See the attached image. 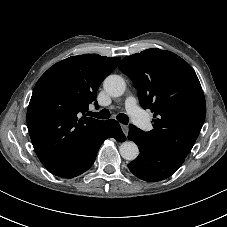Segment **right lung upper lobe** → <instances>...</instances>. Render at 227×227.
Masks as SVG:
<instances>
[{
	"label": "right lung upper lobe",
	"instance_id": "cb5924a9",
	"mask_svg": "<svg viewBox=\"0 0 227 227\" xmlns=\"http://www.w3.org/2000/svg\"><path fill=\"white\" fill-rule=\"evenodd\" d=\"M119 61L98 54L71 56L50 67L36 83L27 125L34 150L48 171L67 163L105 124L86 112Z\"/></svg>",
	"mask_w": 227,
	"mask_h": 227
}]
</instances>
